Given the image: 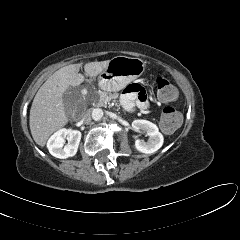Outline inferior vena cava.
<instances>
[{"label":"inferior vena cava","mask_w":240,"mask_h":240,"mask_svg":"<svg viewBox=\"0 0 240 240\" xmlns=\"http://www.w3.org/2000/svg\"><path fill=\"white\" fill-rule=\"evenodd\" d=\"M82 121L85 123V124H89L91 122V114L90 112H86L82 118Z\"/></svg>","instance_id":"inferior-vena-cava-1"}]
</instances>
